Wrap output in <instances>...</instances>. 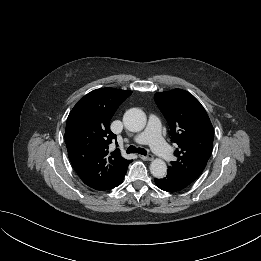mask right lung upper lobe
I'll return each mask as SVG.
<instances>
[{"instance_id":"cb5924a9","label":"right lung upper lobe","mask_w":261,"mask_h":261,"mask_svg":"<svg viewBox=\"0 0 261 261\" xmlns=\"http://www.w3.org/2000/svg\"><path fill=\"white\" fill-rule=\"evenodd\" d=\"M131 93L114 88L93 90L78 101L68 116L65 141L69 159L83 182L95 190L117 184L132 162L124 159L119 149L109 152V144L116 140L110 120Z\"/></svg>"}]
</instances>
